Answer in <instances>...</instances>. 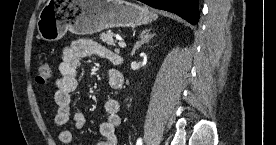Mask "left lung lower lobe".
I'll return each instance as SVG.
<instances>
[{"label":"left lung lower lobe","instance_id":"obj_1","mask_svg":"<svg viewBox=\"0 0 276 145\" xmlns=\"http://www.w3.org/2000/svg\"><path fill=\"white\" fill-rule=\"evenodd\" d=\"M154 8L173 12L192 25L199 19L198 0H139Z\"/></svg>","mask_w":276,"mask_h":145}]
</instances>
